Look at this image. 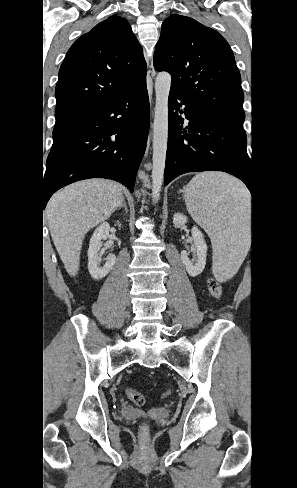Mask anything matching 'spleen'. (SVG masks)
<instances>
[{
	"instance_id": "3e777b00",
	"label": "spleen",
	"mask_w": 297,
	"mask_h": 488,
	"mask_svg": "<svg viewBox=\"0 0 297 488\" xmlns=\"http://www.w3.org/2000/svg\"><path fill=\"white\" fill-rule=\"evenodd\" d=\"M185 203L207 232L222 278L240 268L248 251L250 196L236 178L219 172L199 173L188 183Z\"/></svg>"
}]
</instances>
